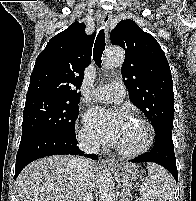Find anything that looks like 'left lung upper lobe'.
I'll return each mask as SVG.
<instances>
[{
  "label": "left lung upper lobe",
  "mask_w": 196,
  "mask_h": 201,
  "mask_svg": "<svg viewBox=\"0 0 196 201\" xmlns=\"http://www.w3.org/2000/svg\"><path fill=\"white\" fill-rule=\"evenodd\" d=\"M110 38L125 50L121 74L130 100L151 121L156 134L172 130L173 81L159 43L132 20L120 21Z\"/></svg>",
  "instance_id": "obj_1"
}]
</instances>
